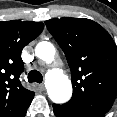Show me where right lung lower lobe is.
Listing matches in <instances>:
<instances>
[{"label": "right lung lower lobe", "mask_w": 117, "mask_h": 117, "mask_svg": "<svg viewBox=\"0 0 117 117\" xmlns=\"http://www.w3.org/2000/svg\"><path fill=\"white\" fill-rule=\"evenodd\" d=\"M27 109L19 116V117H24L26 114Z\"/></svg>", "instance_id": "98d812e1"}]
</instances>
